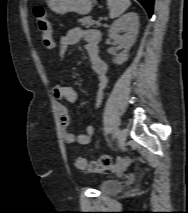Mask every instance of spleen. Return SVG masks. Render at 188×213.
I'll return each mask as SVG.
<instances>
[{"label":"spleen","instance_id":"obj_1","mask_svg":"<svg viewBox=\"0 0 188 213\" xmlns=\"http://www.w3.org/2000/svg\"><path fill=\"white\" fill-rule=\"evenodd\" d=\"M110 9V18L119 17L131 5L130 0H107Z\"/></svg>","mask_w":188,"mask_h":213}]
</instances>
